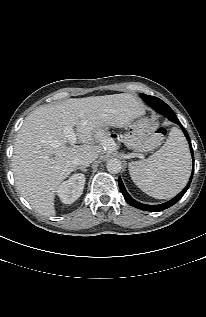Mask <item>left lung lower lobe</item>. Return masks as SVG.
Returning a JSON list of instances; mask_svg holds the SVG:
<instances>
[{"mask_svg": "<svg viewBox=\"0 0 206 317\" xmlns=\"http://www.w3.org/2000/svg\"><path fill=\"white\" fill-rule=\"evenodd\" d=\"M148 102H149L148 105L150 107H152L153 109H155L157 112L161 113L162 115L166 116L169 120H171L172 122H175L176 124H178L181 127V129L184 132V134L187 138V141L190 145L191 155H192V159L194 161L193 149L191 146V141H190L189 135H188L187 131L185 130V128L182 127V125L180 124V122L177 119L174 112L171 111L169 108H165L156 102H153L150 100ZM193 173H194V169L192 170V174H191V177H190V180H189L187 186L175 198H173L172 200H170L164 204H160V205H146V204H142V203L134 200L126 191V189L122 183L121 178H119V187H120V190H121L126 202L128 204H130L131 206L136 207V208L141 209V210H144V211L159 212V211H162V210H165V209L171 207L172 205H174L176 202H178L182 198V196L185 194V192L188 190V188L190 186V183H191V180L193 177Z\"/></svg>", "mask_w": 206, "mask_h": 317, "instance_id": "0a47b994", "label": "left lung lower lobe"}]
</instances>
